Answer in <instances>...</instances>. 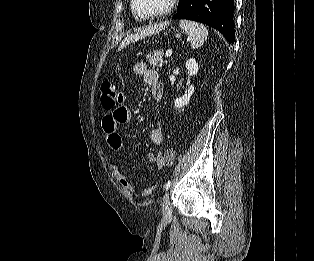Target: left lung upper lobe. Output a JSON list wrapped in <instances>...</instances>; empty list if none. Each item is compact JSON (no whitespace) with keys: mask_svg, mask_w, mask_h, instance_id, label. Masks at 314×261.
<instances>
[{"mask_svg":"<svg viewBox=\"0 0 314 261\" xmlns=\"http://www.w3.org/2000/svg\"><path fill=\"white\" fill-rule=\"evenodd\" d=\"M184 0H179L178 8L181 6Z\"/></svg>","mask_w":314,"mask_h":261,"instance_id":"left-lung-upper-lobe-1","label":"left lung upper lobe"}]
</instances>
